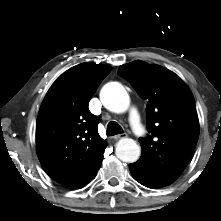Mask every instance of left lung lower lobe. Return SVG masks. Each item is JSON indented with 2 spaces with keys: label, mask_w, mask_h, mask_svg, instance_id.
<instances>
[{
  "label": "left lung lower lobe",
  "mask_w": 221,
  "mask_h": 221,
  "mask_svg": "<svg viewBox=\"0 0 221 221\" xmlns=\"http://www.w3.org/2000/svg\"><path fill=\"white\" fill-rule=\"evenodd\" d=\"M129 168H130V172H131L132 176L134 177V179L137 180L138 182H140L141 184L148 187V185L142 180L141 171L136 166V164L135 163L130 164Z\"/></svg>",
  "instance_id": "0a47b994"
}]
</instances>
